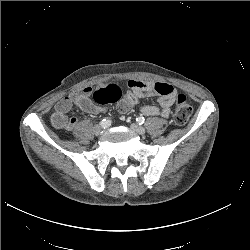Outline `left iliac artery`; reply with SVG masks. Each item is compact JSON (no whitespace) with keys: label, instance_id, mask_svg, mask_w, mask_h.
I'll use <instances>...</instances> for the list:
<instances>
[{"label":"left iliac artery","instance_id":"left-iliac-artery-1","mask_svg":"<svg viewBox=\"0 0 250 250\" xmlns=\"http://www.w3.org/2000/svg\"><path fill=\"white\" fill-rule=\"evenodd\" d=\"M136 121H137V123H139V124L141 125V124H143V123H144L145 118H144V117H142V116H140V117H137V118H136Z\"/></svg>","mask_w":250,"mask_h":250}]
</instances>
